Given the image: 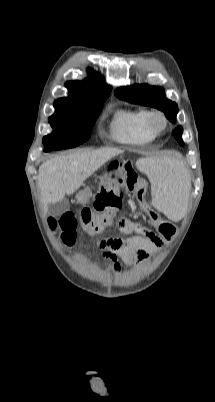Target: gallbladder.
Instances as JSON below:
<instances>
[{
  "label": "gallbladder",
  "mask_w": 215,
  "mask_h": 402,
  "mask_svg": "<svg viewBox=\"0 0 215 402\" xmlns=\"http://www.w3.org/2000/svg\"><path fill=\"white\" fill-rule=\"evenodd\" d=\"M69 209V202L67 199H62L56 203L49 204V210L52 214L60 216Z\"/></svg>",
  "instance_id": "1"
}]
</instances>
